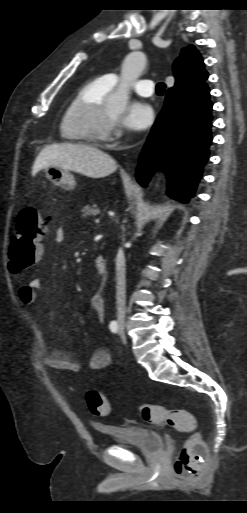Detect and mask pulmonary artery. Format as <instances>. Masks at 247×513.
Returning a JSON list of instances; mask_svg holds the SVG:
<instances>
[{
	"instance_id": "1",
	"label": "pulmonary artery",
	"mask_w": 247,
	"mask_h": 513,
	"mask_svg": "<svg viewBox=\"0 0 247 513\" xmlns=\"http://www.w3.org/2000/svg\"><path fill=\"white\" fill-rule=\"evenodd\" d=\"M99 79L112 88L117 83L118 76L115 73H109L100 76ZM133 88L139 95L148 97L153 94L154 83L151 80H138L134 83Z\"/></svg>"
}]
</instances>
